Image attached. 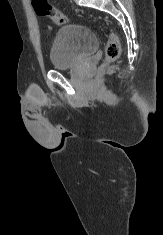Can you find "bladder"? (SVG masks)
Here are the masks:
<instances>
[{"label": "bladder", "instance_id": "obj_1", "mask_svg": "<svg viewBox=\"0 0 163 235\" xmlns=\"http://www.w3.org/2000/svg\"><path fill=\"white\" fill-rule=\"evenodd\" d=\"M99 41L95 32L82 24H69L58 30L50 49L54 69H68L92 54Z\"/></svg>", "mask_w": 163, "mask_h": 235}]
</instances>
